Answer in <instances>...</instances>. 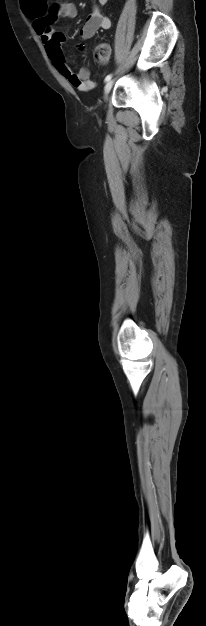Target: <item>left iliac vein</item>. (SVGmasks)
I'll list each match as a JSON object with an SVG mask.
<instances>
[{
	"label": "left iliac vein",
	"mask_w": 206,
	"mask_h": 626,
	"mask_svg": "<svg viewBox=\"0 0 206 626\" xmlns=\"http://www.w3.org/2000/svg\"><path fill=\"white\" fill-rule=\"evenodd\" d=\"M113 84H114V80H113V79H110V80L106 83V85H105V87H104V93H105V95H107V94L110 92V90H111V88H112Z\"/></svg>",
	"instance_id": "obj_1"
}]
</instances>
